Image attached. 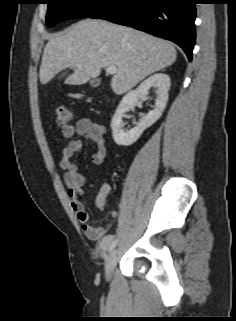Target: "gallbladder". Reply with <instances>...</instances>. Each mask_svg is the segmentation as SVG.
<instances>
[{
	"instance_id": "obj_1",
	"label": "gallbladder",
	"mask_w": 236,
	"mask_h": 321,
	"mask_svg": "<svg viewBox=\"0 0 236 321\" xmlns=\"http://www.w3.org/2000/svg\"><path fill=\"white\" fill-rule=\"evenodd\" d=\"M99 85V80L98 79H94L91 83L92 87H97Z\"/></svg>"
}]
</instances>
